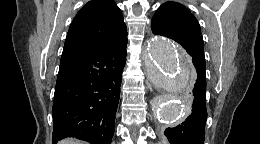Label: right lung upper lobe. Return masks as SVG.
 <instances>
[{
    "label": "right lung upper lobe",
    "instance_id": "cb5924a9",
    "mask_svg": "<svg viewBox=\"0 0 260 144\" xmlns=\"http://www.w3.org/2000/svg\"><path fill=\"white\" fill-rule=\"evenodd\" d=\"M127 42L123 15L113 0L87 2L74 17L61 59Z\"/></svg>",
    "mask_w": 260,
    "mask_h": 144
}]
</instances>
